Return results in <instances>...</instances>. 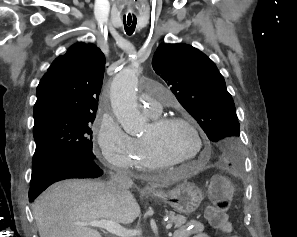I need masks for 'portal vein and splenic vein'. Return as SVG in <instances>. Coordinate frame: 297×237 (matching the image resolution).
<instances>
[{"mask_svg": "<svg viewBox=\"0 0 297 237\" xmlns=\"http://www.w3.org/2000/svg\"><path fill=\"white\" fill-rule=\"evenodd\" d=\"M83 225H89L96 228H103L106 231L118 237H133L141 234V231L139 230H127L120 224L110 220L92 221L89 223H84ZM171 227H172V223L169 222L166 225V229L169 230L171 229Z\"/></svg>", "mask_w": 297, "mask_h": 237, "instance_id": "obj_1", "label": "portal vein and splenic vein"}]
</instances>
